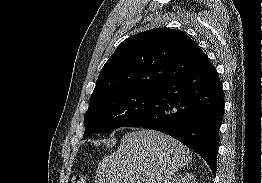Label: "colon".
<instances>
[{
	"mask_svg": "<svg viewBox=\"0 0 262 183\" xmlns=\"http://www.w3.org/2000/svg\"><path fill=\"white\" fill-rule=\"evenodd\" d=\"M73 183H89V181L87 177L80 175L74 179Z\"/></svg>",
	"mask_w": 262,
	"mask_h": 183,
	"instance_id": "obj_1",
	"label": "colon"
}]
</instances>
